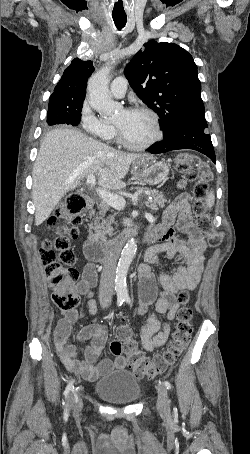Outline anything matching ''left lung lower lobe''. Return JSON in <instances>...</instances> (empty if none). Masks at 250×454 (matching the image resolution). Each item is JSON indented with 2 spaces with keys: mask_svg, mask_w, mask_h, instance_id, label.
Wrapping results in <instances>:
<instances>
[{
  "mask_svg": "<svg viewBox=\"0 0 250 454\" xmlns=\"http://www.w3.org/2000/svg\"><path fill=\"white\" fill-rule=\"evenodd\" d=\"M205 117L188 119L175 126L160 142L148 148L152 154L165 153L177 149H194L207 155L216 163L215 152L207 132Z\"/></svg>",
  "mask_w": 250,
  "mask_h": 454,
  "instance_id": "0a47b994",
  "label": "left lung lower lobe"
}]
</instances>
